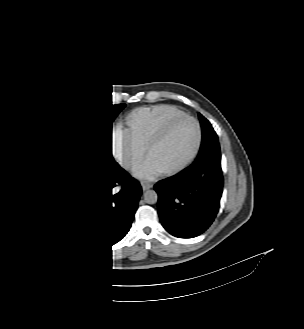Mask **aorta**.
<instances>
[{"mask_svg": "<svg viewBox=\"0 0 304 329\" xmlns=\"http://www.w3.org/2000/svg\"><path fill=\"white\" fill-rule=\"evenodd\" d=\"M144 200L148 204H154V203H156L157 200H158V195H157L156 191H154V190H147L144 193Z\"/></svg>", "mask_w": 304, "mask_h": 329, "instance_id": "762f6f07", "label": "aorta"}]
</instances>
